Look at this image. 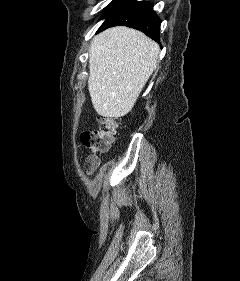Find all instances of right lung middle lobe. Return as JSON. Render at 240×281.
I'll return each mask as SVG.
<instances>
[{
	"instance_id": "dd1d6c3e",
	"label": "right lung middle lobe",
	"mask_w": 240,
	"mask_h": 281,
	"mask_svg": "<svg viewBox=\"0 0 240 281\" xmlns=\"http://www.w3.org/2000/svg\"><path fill=\"white\" fill-rule=\"evenodd\" d=\"M123 0H113L107 7V10L105 11L103 18L106 17L119 3H121Z\"/></svg>"
}]
</instances>
